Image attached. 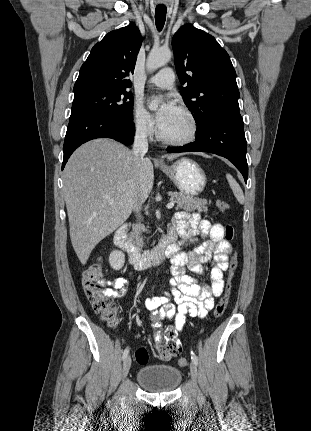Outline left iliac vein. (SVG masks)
<instances>
[{
	"mask_svg": "<svg viewBox=\"0 0 311 431\" xmlns=\"http://www.w3.org/2000/svg\"><path fill=\"white\" fill-rule=\"evenodd\" d=\"M190 375L192 379L195 381L197 378V367L193 362L190 364Z\"/></svg>",
	"mask_w": 311,
	"mask_h": 431,
	"instance_id": "1",
	"label": "left iliac vein"
}]
</instances>
